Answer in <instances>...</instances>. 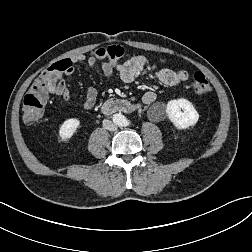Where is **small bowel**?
I'll use <instances>...</instances> for the list:
<instances>
[{
	"label": "small bowel",
	"instance_id": "c3829d8e",
	"mask_svg": "<svg viewBox=\"0 0 252 252\" xmlns=\"http://www.w3.org/2000/svg\"><path fill=\"white\" fill-rule=\"evenodd\" d=\"M70 68L65 71L66 74H72L74 72L73 64L87 61L90 67L94 66L96 59L86 57L85 55H77L68 59ZM152 70L158 80L168 87H175L180 83L186 82L189 79V74L185 70H173L168 68L157 69L154 65H151L145 56H135L124 63H119L113 66L109 63H103L102 70L105 77L112 76L113 71L116 70L125 83L133 82L144 69ZM48 92L60 99L67 101L70 99V90L67 83L64 80L58 81L55 85L49 87ZM97 100V93L95 89L88 88L86 90V99L84 102L85 108H92ZM156 100V94L153 91H147L143 94L141 103L143 105H150ZM139 106V105H138Z\"/></svg>",
	"mask_w": 252,
	"mask_h": 252
}]
</instances>
